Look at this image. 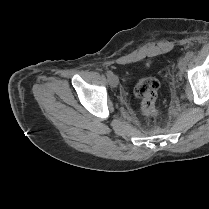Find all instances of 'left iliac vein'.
<instances>
[{"label": "left iliac vein", "mask_w": 209, "mask_h": 209, "mask_svg": "<svg viewBox=\"0 0 209 209\" xmlns=\"http://www.w3.org/2000/svg\"><path fill=\"white\" fill-rule=\"evenodd\" d=\"M187 63H188V60L186 57H183L179 60L178 68L181 72H183L185 70Z\"/></svg>", "instance_id": "left-iliac-vein-1"}]
</instances>
